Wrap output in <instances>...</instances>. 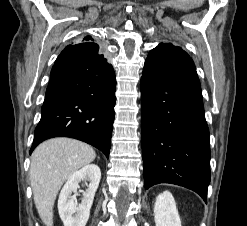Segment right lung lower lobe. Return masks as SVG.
<instances>
[{
	"instance_id": "1",
	"label": "right lung lower lobe",
	"mask_w": 247,
	"mask_h": 226,
	"mask_svg": "<svg viewBox=\"0 0 247 226\" xmlns=\"http://www.w3.org/2000/svg\"><path fill=\"white\" fill-rule=\"evenodd\" d=\"M116 78L94 42L68 45L51 70L30 154L53 137L75 138L109 157L114 121Z\"/></svg>"
}]
</instances>
